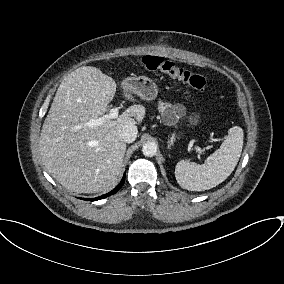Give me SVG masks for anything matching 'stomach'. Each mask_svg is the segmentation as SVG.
<instances>
[{"mask_svg":"<svg viewBox=\"0 0 284 284\" xmlns=\"http://www.w3.org/2000/svg\"><path fill=\"white\" fill-rule=\"evenodd\" d=\"M122 86L137 94L144 100H152L157 96L158 87L156 83L146 76L128 77L123 80ZM199 117L197 115L189 117L191 125H197Z\"/></svg>","mask_w":284,"mask_h":284,"instance_id":"1","label":"stomach"}]
</instances>
